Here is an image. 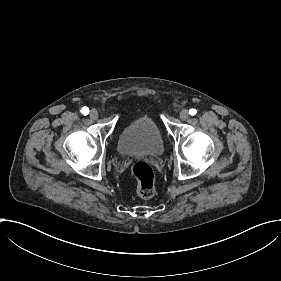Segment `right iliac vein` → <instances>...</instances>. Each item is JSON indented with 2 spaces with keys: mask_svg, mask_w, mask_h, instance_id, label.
Returning <instances> with one entry per match:
<instances>
[{
  "mask_svg": "<svg viewBox=\"0 0 281 281\" xmlns=\"http://www.w3.org/2000/svg\"><path fill=\"white\" fill-rule=\"evenodd\" d=\"M89 117L91 119H96L98 117V111L96 109H93L89 112Z\"/></svg>",
  "mask_w": 281,
  "mask_h": 281,
  "instance_id": "obj_1",
  "label": "right iliac vein"
}]
</instances>
